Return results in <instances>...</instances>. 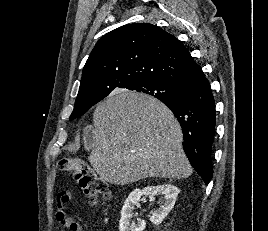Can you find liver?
<instances>
[{
    "mask_svg": "<svg viewBox=\"0 0 268 231\" xmlns=\"http://www.w3.org/2000/svg\"><path fill=\"white\" fill-rule=\"evenodd\" d=\"M88 157L100 179L126 185L148 177L183 179L193 170L183 147L181 127L161 101L118 90L93 114ZM88 127L85 131H87Z\"/></svg>",
    "mask_w": 268,
    "mask_h": 231,
    "instance_id": "liver-1",
    "label": "liver"
}]
</instances>
